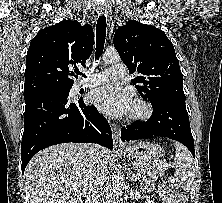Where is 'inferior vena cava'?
Here are the masks:
<instances>
[{"instance_id":"602c4592","label":"inferior vena cava","mask_w":222,"mask_h":203,"mask_svg":"<svg viewBox=\"0 0 222 203\" xmlns=\"http://www.w3.org/2000/svg\"><path fill=\"white\" fill-rule=\"evenodd\" d=\"M88 150L91 159V178L89 182L90 193L94 196L100 187L103 186L107 176V169L104 162H102L98 146L95 144H89Z\"/></svg>"}]
</instances>
